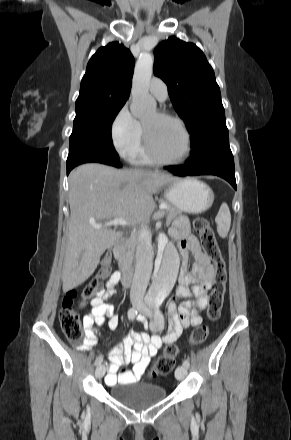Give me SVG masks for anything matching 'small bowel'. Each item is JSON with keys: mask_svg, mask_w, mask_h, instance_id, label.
<instances>
[{"mask_svg": "<svg viewBox=\"0 0 291 440\" xmlns=\"http://www.w3.org/2000/svg\"><path fill=\"white\" fill-rule=\"evenodd\" d=\"M170 237L177 242L182 266L178 285L167 303V313L170 323V332L161 339L158 335H148L131 330L121 341L108 352V370L105 377L107 385L122 384L140 378L148 368H152L151 359L156 356L164 343L178 339L183 328L198 326L202 323V311L208 306V289L214 277V268L208 256L200 249L197 241L192 236L188 221L178 219L169 230ZM192 254L195 263L188 271L189 255ZM121 279V274L115 272L107 282L106 294L96 297L91 301V310L83 319L85 333L84 344L79 349H86L93 345L99 334L98 328L103 324L105 317H109V327H118V318L113 314L114 309L106 302L107 297L114 292ZM193 285L191 289L189 285ZM189 298L179 306L176 298ZM138 320L145 323V318L139 316ZM132 363V371L127 365Z\"/></svg>", "mask_w": 291, "mask_h": 440, "instance_id": "c3829d8e", "label": "small bowel"}]
</instances>
